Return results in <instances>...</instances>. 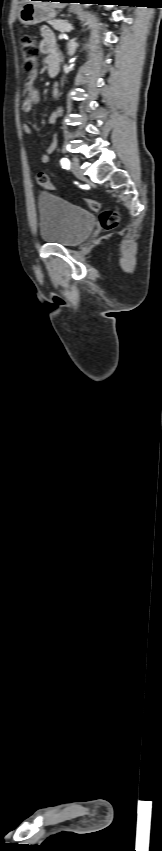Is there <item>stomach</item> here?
Listing matches in <instances>:
<instances>
[{"instance_id": "0dacf381", "label": "stomach", "mask_w": 162, "mask_h": 851, "mask_svg": "<svg viewBox=\"0 0 162 851\" xmlns=\"http://www.w3.org/2000/svg\"><path fill=\"white\" fill-rule=\"evenodd\" d=\"M71 9L76 12L78 7L72 5ZM56 11L52 8L42 7L31 0L25 3L18 13V19L25 26L35 25L44 21H49L55 18Z\"/></svg>"}]
</instances>
